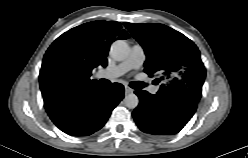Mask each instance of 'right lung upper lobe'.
I'll list each match as a JSON object with an SVG mask.
<instances>
[{
    "instance_id": "obj_1",
    "label": "right lung upper lobe",
    "mask_w": 248,
    "mask_h": 158,
    "mask_svg": "<svg viewBox=\"0 0 248 158\" xmlns=\"http://www.w3.org/2000/svg\"><path fill=\"white\" fill-rule=\"evenodd\" d=\"M129 37L115 21H92L63 33L46 51L39 83L44 104L98 85L91 72L107 65L110 44Z\"/></svg>"
}]
</instances>
